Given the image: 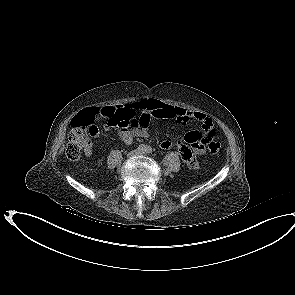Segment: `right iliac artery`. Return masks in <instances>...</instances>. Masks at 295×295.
<instances>
[{"mask_svg":"<svg viewBox=\"0 0 295 295\" xmlns=\"http://www.w3.org/2000/svg\"><path fill=\"white\" fill-rule=\"evenodd\" d=\"M138 149H139L140 151H145L146 146L142 144V145H140V146L138 147Z\"/></svg>","mask_w":295,"mask_h":295,"instance_id":"obj_1","label":"right iliac artery"}]
</instances>
